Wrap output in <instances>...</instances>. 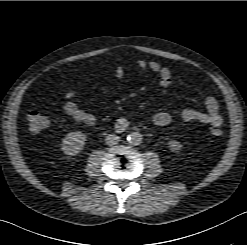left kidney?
Wrapping results in <instances>:
<instances>
[{
  "label": "left kidney",
  "mask_w": 247,
  "mask_h": 245,
  "mask_svg": "<svg viewBox=\"0 0 247 245\" xmlns=\"http://www.w3.org/2000/svg\"><path fill=\"white\" fill-rule=\"evenodd\" d=\"M168 147L175 152H178L182 149V144L176 140H171L168 142Z\"/></svg>",
  "instance_id": "1"
}]
</instances>
